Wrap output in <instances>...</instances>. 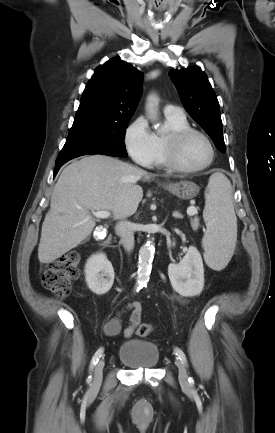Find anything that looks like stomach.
I'll list each match as a JSON object with an SVG mask.
<instances>
[{"mask_svg":"<svg viewBox=\"0 0 275 433\" xmlns=\"http://www.w3.org/2000/svg\"><path fill=\"white\" fill-rule=\"evenodd\" d=\"M166 189L176 197L183 200L195 198L200 190L199 186L191 181H181L179 183L171 184L167 186Z\"/></svg>","mask_w":275,"mask_h":433,"instance_id":"stomach-1","label":"stomach"}]
</instances>
